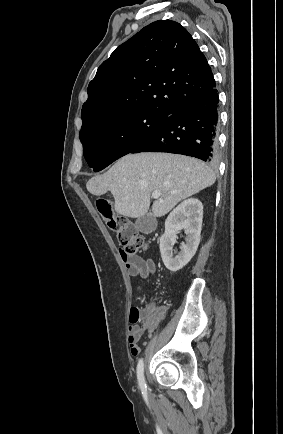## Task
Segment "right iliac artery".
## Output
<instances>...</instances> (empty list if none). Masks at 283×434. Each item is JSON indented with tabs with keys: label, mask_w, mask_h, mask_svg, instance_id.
<instances>
[{
	"label": "right iliac artery",
	"mask_w": 283,
	"mask_h": 434,
	"mask_svg": "<svg viewBox=\"0 0 283 434\" xmlns=\"http://www.w3.org/2000/svg\"><path fill=\"white\" fill-rule=\"evenodd\" d=\"M137 378H138V383H139V386H140L142 393L146 394L147 385H146V381H145V377H144L143 359H140L138 362V365H137Z\"/></svg>",
	"instance_id": "obj_1"
}]
</instances>
